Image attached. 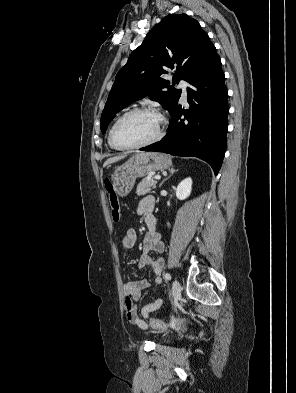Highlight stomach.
<instances>
[{
  "mask_svg": "<svg viewBox=\"0 0 296 393\" xmlns=\"http://www.w3.org/2000/svg\"><path fill=\"white\" fill-rule=\"evenodd\" d=\"M172 166L171 158L163 153L147 152L133 155L112 175L113 189L121 197L133 189L138 177H145L153 171L166 170Z\"/></svg>",
  "mask_w": 296,
  "mask_h": 393,
  "instance_id": "0dacf381",
  "label": "stomach"
}]
</instances>
